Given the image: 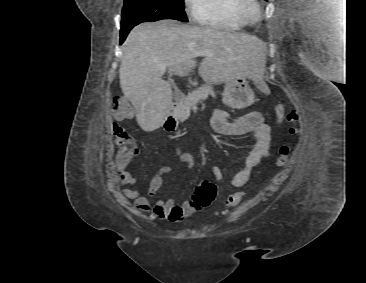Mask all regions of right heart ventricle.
Listing matches in <instances>:
<instances>
[{
	"instance_id": "right-heart-ventricle-1",
	"label": "right heart ventricle",
	"mask_w": 366,
	"mask_h": 283,
	"mask_svg": "<svg viewBox=\"0 0 366 283\" xmlns=\"http://www.w3.org/2000/svg\"><path fill=\"white\" fill-rule=\"evenodd\" d=\"M241 0H205L200 23L220 30L234 31L248 23L239 12Z\"/></svg>"
}]
</instances>
